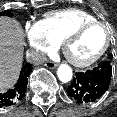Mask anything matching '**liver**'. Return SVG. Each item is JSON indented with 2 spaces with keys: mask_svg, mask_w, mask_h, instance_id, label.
<instances>
[{
  "mask_svg": "<svg viewBox=\"0 0 117 117\" xmlns=\"http://www.w3.org/2000/svg\"><path fill=\"white\" fill-rule=\"evenodd\" d=\"M24 31L10 17H0V90L10 88L22 65Z\"/></svg>",
  "mask_w": 117,
  "mask_h": 117,
  "instance_id": "liver-1",
  "label": "liver"
}]
</instances>
